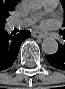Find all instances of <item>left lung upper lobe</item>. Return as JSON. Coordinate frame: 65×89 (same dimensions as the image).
I'll use <instances>...</instances> for the list:
<instances>
[{"instance_id":"1","label":"left lung upper lobe","mask_w":65,"mask_h":89,"mask_svg":"<svg viewBox=\"0 0 65 89\" xmlns=\"http://www.w3.org/2000/svg\"><path fill=\"white\" fill-rule=\"evenodd\" d=\"M61 3H62V6H63V8H64V11H65V1H64V0H61ZM63 26H64V28H65V19H64ZM59 33L65 35V29H64V30H60Z\"/></svg>"}]
</instances>
